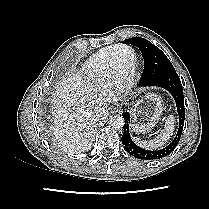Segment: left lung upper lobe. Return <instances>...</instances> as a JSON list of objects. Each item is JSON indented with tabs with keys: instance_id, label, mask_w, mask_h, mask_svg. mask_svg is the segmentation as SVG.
I'll list each match as a JSON object with an SVG mask.
<instances>
[{
	"instance_id": "5c2ea615",
	"label": "left lung upper lobe",
	"mask_w": 209,
	"mask_h": 209,
	"mask_svg": "<svg viewBox=\"0 0 209 209\" xmlns=\"http://www.w3.org/2000/svg\"><path fill=\"white\" fill-rule=\"evenodd\" d=\"M123 43L135 45L142 52L144 58V70L141 76L142 84L148 83L163 73L175 71L167 56L148 40L136 37L126 39Z\"/></svg>"
}]
</instances>
